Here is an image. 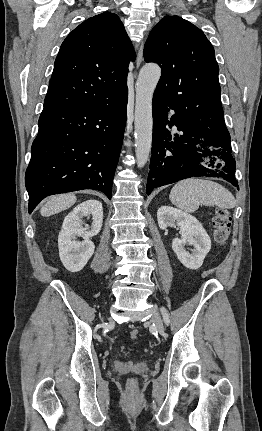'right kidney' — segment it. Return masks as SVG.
Masks as SVG:
<instances>
[{
	"label": "right kidney",
	"instance_id": "right-kidney-1",
	"mask_svg": "<svg viewBox=\"0 0 262 431\" xmlns=\"http://www.w3.org/2000/svg\"><path fill=\"white\" fill-rule=\"evenodd\" d=\"M92 219L91 230L82 227L84 217ZM103 208L98 200H87L76 206L64 219L58 236L61 262L70 272L83 269L94 253L95 246L90 240L102 227ZM77 237L84 240L78 241Z\"/></svg>",
	"mask_w": 262,
	"mask_h": 431
}]
</instances>
